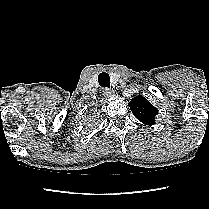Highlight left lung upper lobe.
<instances>
[{
	"instance_id": "left-lung-upper-lobe-1",
	"label": "left lung upper lobe",
	"mask_w": 209,
	"mask_h": 209,
	"mask_svg": "<svg viewBox=\"0 0 209 209\" xmlns=\"http://www.w3.org/2000/svg\"><path fill=\"white\" fill-rule=\"evenodd\" d=\"M134 116L145 125H154L158 110L142 95L135 96L128 103Z\"/></svg>"
}]
</instances>
